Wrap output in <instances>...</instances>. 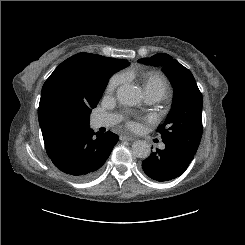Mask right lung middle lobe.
<instances>
[{
    "label": "right lung middle lobe",
    "mask_w": 245,
    "mask_h": 245,
    "mask_svg": "<svg viewBox=\"0 0 245 245\" xmlns=\"http://www.w3.org/2000/svg\"><path fill=\"white\" fill-rule=\"evenodd\" d=\"M117 71L118 68L102 60L96 62V64L93 66V72L101 84V92L98 100H100L103 94L109 77ZM52 109L55 117L62 121L70 120L76 116V109L62 95H57L53 99ZM89 115L90 112H87L82 117V120L87 125H89Z\"/></svg>",
    "instance_id": "obj_1"
}]
</instances>
